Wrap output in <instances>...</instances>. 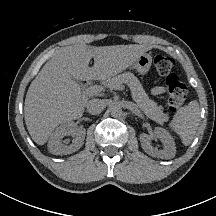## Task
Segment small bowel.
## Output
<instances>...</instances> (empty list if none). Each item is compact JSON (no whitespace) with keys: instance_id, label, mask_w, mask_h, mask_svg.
Segmentation results:
<instances>
[{"instance_id":"obj_1","label":"small bowel","mask_w":216,"mask_h":216,"mask_svg":"<svg viewBox=\"0 0 216 216\" xmlns=\"http://www.w3.org/2000/svg\"><path fill=\"white\" fill-rule=\"evenodd\" d=\"M165 92V88L163 86H156L153 89V93L156 95L163 94Z\"/></svg>"}]
</instances>
